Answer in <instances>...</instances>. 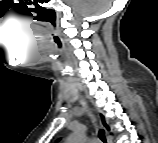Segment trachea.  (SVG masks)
I'll return each mask as SVG.
<instances>
[{
	"label": "trachea",
	"instance_id": "1",
	"mask_svg": "<svg viewBox=\"0 0 158 143\" xmlns=\"http://www.w3.org/2000/svg\"><path fill=\"white\" fill-rule=\"evenodd\" d=\"M99 137L102 141H105V132L103 130H99Z\"/></svg>",
	"mask_w": 158,
	"mask_h": 143
}]
</instances>
